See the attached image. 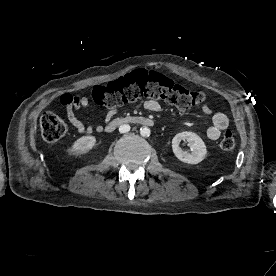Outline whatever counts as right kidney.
Wrapping results in <instances>:
<instances>
[{
	"label": "right kidney",
	"instance_id": "obj_1",
	"mask_svg": "<svg viewBox=\"0 0 276 276\" xmlns=\"http://www.w3.org/2000/svg\"><path fill=\"white\" fill-rule=\"evenodd\" d=\"M95 143H96V138L94 136H91V135L83 136V137L77 139L73 143L70 151L74 155L85 154L93 148Z\"/></svg>",
	"mask_w": 276,
	"mask_h": 276
}]
</instances>
